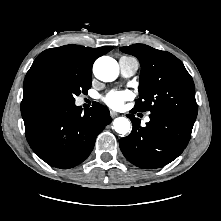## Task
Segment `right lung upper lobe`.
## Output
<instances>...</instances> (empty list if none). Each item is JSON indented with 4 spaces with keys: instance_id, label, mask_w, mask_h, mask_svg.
Here are the masks:
<instances>
[{
    "instance_id": "1",
    "label": "right lung upper lobe",
    "mask_w": 221,
    "mask_h": 221,
    "mask_svg": "<svg viewBox=\"0 0 221 221\" xmlns=\"http://www.w3.org/2000/svg\"><path fill=\"white\" fill-rule=\"evenodd\" d=\"M111 50V46L90 48L66 45L43 51L34 60L26 74L23 85L21 113L42 102L37 94V85L44 76L51 72L62 70L92 74L94 61Z\"/></svg>"
}]
</instances>
